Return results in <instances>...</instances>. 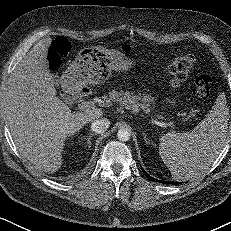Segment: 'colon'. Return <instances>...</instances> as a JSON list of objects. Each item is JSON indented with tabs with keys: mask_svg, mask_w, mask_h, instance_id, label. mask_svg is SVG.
Masks as SVG:
<instances>
[{
	"mask_svg": "<svg viewBox=\"0 0 231 231\" xmlns=\"http://www.w3.org/2000/svg\"><path fill=\"white\" fill-rule=\"evenodd\" d=\"M70 50V43L65 38L55 39L47 53L49 67L53 70L58 69L69 55ZM123 50L127 52L129 48L124 47ZM194 62L195 57L192 54H182L171 62L168 68V77L172 86H179L192 69ZM193 86L198 97L207 98L215 88V80L211 74L197 73L193 77Z\"/></svg>",
	"mask_w": 231,
	"mask_h": 231,
	"instance_id": "colon-1",
	"label": "colon"
}]
</instances>
